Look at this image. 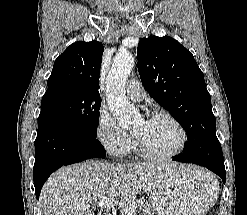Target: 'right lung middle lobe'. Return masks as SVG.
<instances>
[{
  "label": "right lung middle lobe",
  "instance_id": "obj_1",
  "mask_svg": "<svg viewBox=\"0 0 247 215\" xmlns=\"http://www.w3.org/2000/svg\"><path fill=\"white\" fill-rule=\"evenodd\" d=\"M100 106V97L76 93L67 88L48 91L42 97L38 126L60 123L96 136Z\"/></svg>",
  "mask_w": 247,
  "mask_h": 215
}]
</instances>
